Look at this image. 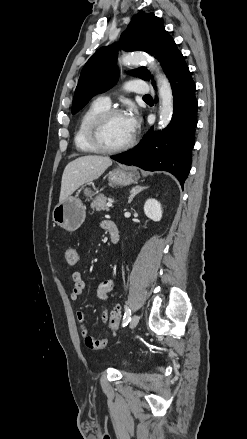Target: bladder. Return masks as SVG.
I'll return each instance as SVG.
<instances>
[{
	"instance_id": "31cf9c89",
	"label": "bladder",
	"mask_w": 247,
	"mask_h": 439,
	"mask_svg": "<svg viewBox=\"0 0 247 439\" xmlns=\"http://www.w3.org/2000/svg\"><path fill=\"white\" fill-rule=\"evenodd\" d=\"M122 365H123V366H127V362H123Z\"/></svg>"
}]
</instances>
